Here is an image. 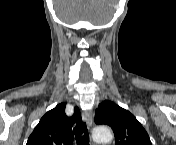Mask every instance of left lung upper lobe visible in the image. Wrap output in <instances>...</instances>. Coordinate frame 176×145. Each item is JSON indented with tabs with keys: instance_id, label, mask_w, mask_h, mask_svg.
<instances>
[{
	"instance_id": "obj_1",
	"label": "left lung upper lobe",
	"mask_w": 176,
	"mask_h": 145,
	"mask_svg": "<svg viewBox=\"0 0 176 145\" xmlns=\"http://www.w3.org/2000/svg\"><path fill=\"white\" fill-rule=\"evenodd\" d=\"M95 123L112 127L115 145H152L135 116L111 101H104L96 110Z\"/></svg>"
}]
</instances>
